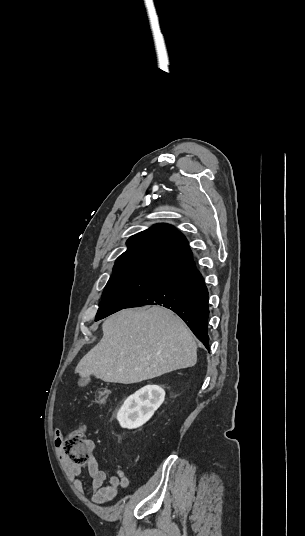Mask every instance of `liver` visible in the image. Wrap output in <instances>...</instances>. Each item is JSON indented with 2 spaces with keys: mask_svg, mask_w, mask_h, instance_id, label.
<instances>
[{
  "mask_svg": "<svg viewBox=\"0 0 305 536\" xmlns=\"http://www.w3.org/2000/svg\"><path fill=\"white\" fill-rule=\"evenodd\" d=\"M102 330V340L75 368L81 378L136 384L197 362L188 326L167 308L121 310L104 320Z\"/></svg>",
  "mask_w": 305,
  "mask_h": 536,
  "instance_id": "1",
  "label": "liver"
}]
</instances>
